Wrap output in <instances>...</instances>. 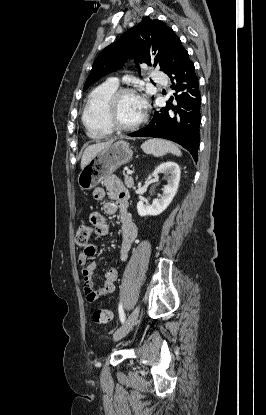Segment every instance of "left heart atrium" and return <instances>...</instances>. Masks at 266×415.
Here are the masks:
<instances>
[{
    "mask_svg": "<svg viewBox=\"0 0 266 415\" xmlns=\"http://www.w3.org/2000/svg\"><path fill=\"white\" fill-rule=\"evenodd\" d=\"M137 101H138L139 106L143 109V107H144L143 101L138 97H137Z\"/></svg>",
    "mask_w": 266,
    "mask_h": 415,
    "instance_id": "39dd6f15",
    "label": "left heart atrium"
}]
</instances>
